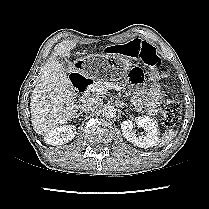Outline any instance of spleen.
Here are the masks:
<instances>
[{
	"label": "spleen",
	"mask_w": 209,
	"mask_h": 209,
	"mask_svg": "<svg viewBox=\"0 0 209 209\" xmlns=\"http://www.w3.org/2000/svg\"><path fill=\"white\" fill-rule=\"evenodd\" d=\"M176 135H177V132L175 130H173V129L168 130L164 134V136H163V138L161 140V145L168 144L172 139H174L176 137Z\"/></svg>",
	"instance_id": "3e777b00"
}]
</instances>
